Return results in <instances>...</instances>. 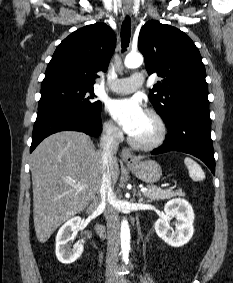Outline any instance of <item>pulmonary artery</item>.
<instances>
[{"mask_svg":"<svg viewBox=\"0 0 233 283\" xmlns=\"http://www.w3.org/2000/svg\"><path fill=\"white\" fill-rule=\"evenodd\" d=\"M143 82V75L136 72L128 78L112 81L110 90L119 94H129L140 88L143 85Z\"/></svg>","mask_w":233,"mask_h":283,"instance_id":"e3ab8cb5","label":"pulmonary artery"}]
</instances>
